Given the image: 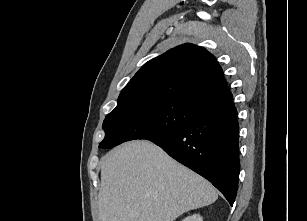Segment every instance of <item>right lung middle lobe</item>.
<instances>
[{
    "instance_id": "obj_1",
    "label": "right lung middle lobe",
    "mask_w": 307,
    "mask_h": 221,
    "mask_svg": "<svg viewBox=\"0 0 307 221\" xmlns=\"http://www.w3.org/2000/svg\"><path fill=\"white\" fill-rule=\"evenodd\" d=\"M206 109L191 102L163 98L118 102L116 108L105 117V138L99 148L169 134L192 122Z\"/></svg>"
}]
</instances>
